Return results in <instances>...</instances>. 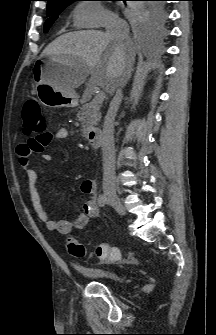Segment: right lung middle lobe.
Listing matches in <instances>:
<instances>
[{
	"label": "right lung middle lobe",
	"mask_w": 216,
	"mask_h": 335,
	"mask_svg": "<svg viewBox=\"0 0 216 335\" xmlns=\"http://www.w3.org/2000/svg\"><path fill=\"white\" fill-rule=\"evenodd\" d=\"M73 1L59 2L47 5L46 15L48 19L44 25L46 33L53 22L58 18V15ZM136 16L141 22V25L150 32L163 31L166 20L164 4L162 2H150L144 4L136 11Z\"/></svg>",
	"instance_id": "right-lung-middle-lobe-1"
}]
</instances>
